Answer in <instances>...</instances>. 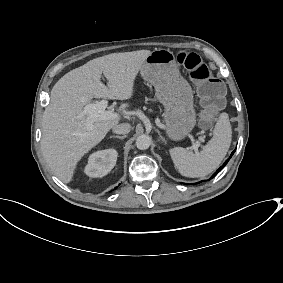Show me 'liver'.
<instances>
[{"instance_id": "1", "label": "liver", "mask_w": 283, "mask_h": 283, "mask_svg": "<svg viewBox=\"0 0 283 283\" xmlns=\"http://www.w3.org/2000/svg\"><path fill=\"white\" fill-rule=\"evenodd\" d=\"M150 50L112 53L88 61L60 78L50 93L42 117L41 149L53 173L65 184L73 181L80 160L95 148L108 131L119 124L131 107L121 103L112 119L96 120L87 126L88 116L78 117L93 98L130 100L135 81ZM109 80L108 89L100 80Z\"/></svg>"}]
</instances>
